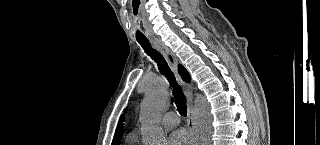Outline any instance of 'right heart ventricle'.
<instances>
[{"label": "right heart ventricle", "mask_w": 320, "mask_h": 145, "mask_svg": "<svg viewBox=\"0 0 320 145\" xmlns=\"http://www.w3.org/2000/svg\"><path fill=\"white\" fill-rule=\"evenodd\" d=\"M127 145H134V143L132 140H129Z\"/></svg>", "instance_id": "e07e8e85"}]
</instances>
